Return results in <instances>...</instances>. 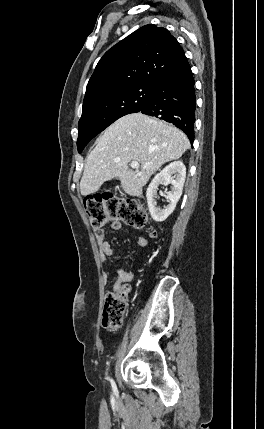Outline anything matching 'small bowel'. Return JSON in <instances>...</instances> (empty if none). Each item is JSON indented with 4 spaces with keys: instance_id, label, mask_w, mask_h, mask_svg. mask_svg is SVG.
<instances>
[{
    "instance_id": "obj_1",
    "label": "small bowel",
    "mask_w": 264,
    "mask_h": 429,
    "mask_svg": "<svg viewBox=\"0 0 264 429\" xmlns=\"http://www.w3.org/2000/svg\"><path fill=\"white\" fill-rule=\"evenodd\" d=\"M110 228L113 231H119L122 228V225L119 221L115 220L112 221L110 224ZM96 239L97 243L100 249V255L102 262H105L107 259L113 257V249L110 245V243L106 240L105 234L103 231L96 232ZM137 245L140 248H145L147 246V241L144 237H138L137 239ZM134 273L133 272H125V271H118V275L115 281V289H118L120 287V284L122 282H129L133 280Z\"/></svg>"
}]
</instances>
